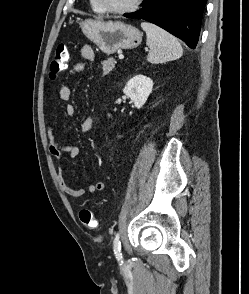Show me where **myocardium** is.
<instances>
[{"mask_svg":"<svg viewBox=\"0 0 249 294\" xmlns=\"http://www.w3.org/2000/svg\"><path fill=\"white\" fill-rule=\"evenodd\" d=\"M94 1H95L96 5L100 8V10L102 11V13L117 14V15H122V14H126V13H129V12L134 11L143 2V0H132L125 7H122V8H111V7L104 6L101 3V0H94Z\"/></svg>","mask_w":249,"mask_h":294,"instance_id":"1","label":"myocardium"}]
</instances>
